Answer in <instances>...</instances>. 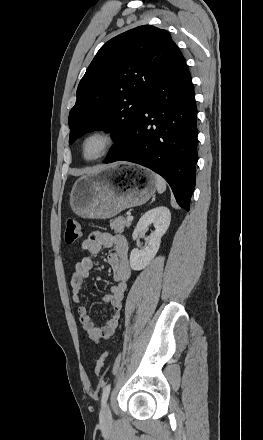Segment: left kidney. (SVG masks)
<instances>
[{"instance_id": "left-kidney-1", "label": "left kidney", "mask_w": 263, "mask_h": 440, "mask_svg": "<svg viewBox=\"0 0 263 440\" xmlns=\"http://www.w3.org/2000/svg\"><path fill=\"white\" fill-rule=\"evenodd\" d=\"M171 221V213L167 207L159 206L147 211L139 219L132 234L136 240L139 234L146 230L150 225L155 230L148 236V244L143 249H133L130 254V267L132 270L139 271L144 269L155 257L159 250L161 238L166 233Z\"/></svg>"}]
</instances>
